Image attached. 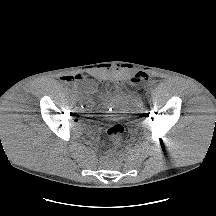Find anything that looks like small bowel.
Segmentation results:
<instances>
[{"label":"small bowel","mask_w":216,"mask_h":216,"mask_svg":"<svg viewBox=\"0 0 216 216\" xmlns=\"http://www.w3.org/2000/svg\"><path fill=\"white\" fill-rule=\"evenodd\" d=\"M146 78V75L145 74H138L134 77V82H139L143 79ZM65 82L67 83H70V82H79V81H83L84 80V77L81 75V74H75V75H72V76H67V77H64L62 78ZM88 89L92 90L94 88V85L93 84H88Z\"/></svg>","instance_id":"obj_1"}]
</instances>
